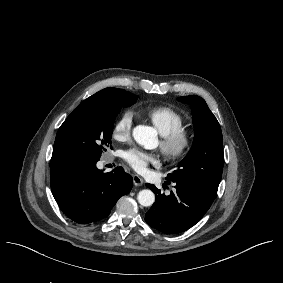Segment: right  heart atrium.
<instances>
[{"mask_svg":"<svg viewBox=\"0 0 283 283\" xmlns=\"http://www.w3.org/2000/svg\"><path fill=\"white\" fill-rule=\"evenodd\" d=\"M132 124V116L129 113L117 118L112 125V138L120 142L128 140L131 136Z\"/></svg>","mask_w":283,"mask_h":283,"instance_id":"right-heart-atrium-1","label":"right heart atrium"}]
</instances>
